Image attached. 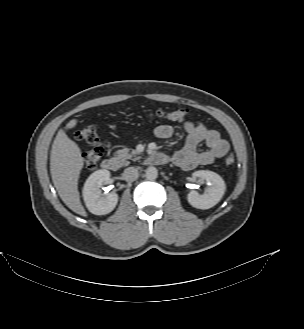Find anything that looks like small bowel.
Returning a JSON list of instances; mask_svg holds the SVG:
<instances>
[{"mask_svg": "<svg viewBox=\"0 0 304 329\" xmlns=\"http://www.w3.org/2000/svg\"><path fill=\"white\" fill-rule=\"evenodd\" d=\"M183 128L187 133L185 144L170 155L171 162L182 170L189 171L198 166L208 165L230 150L228 141L223 139L217 130L202 122L186 121ZM155 135L160 139H169L173 135V127L168 124L159 125L155 129ZM201 143L207 146L205 151H198Z\"/></svg>", "mask_w": 304, "mask_h": 329, "instance_id": "obj_1", "label": "small bowel"}]
</instances>
